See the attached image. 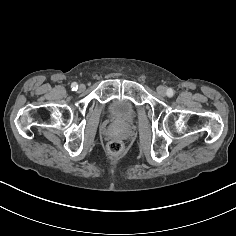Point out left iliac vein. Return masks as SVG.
Segmentation results:
<instances>
[{
    "label": "left iliac vein",
    "instance_id": "obj_1",
    "mask_svg": "<svg viewBox=\"0 0 236 236\" xmlns=\"http://www.w3.org/2000/svg\"><path fill=\"white\" fill-rule=\"evenodd\" d=\"M157 93L161 96H164L166 94V88L162 85L158 86Z\"/></svg>",
    "mask_w": 236,
    "mask_h": 236
}]
</instances>
